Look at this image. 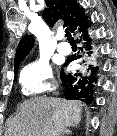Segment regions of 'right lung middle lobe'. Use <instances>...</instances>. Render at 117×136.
Segmentation results:
<instances>
[{"label":"right lung middle lobe","mask_w":117,"mask_h":136,"mask_svg":"<svg viewBox=\"0 0 117 136\" xmlns=\"http://www.w3.org/2000/svg\"><path fill=\"white\" fill-rule=\"evenodd\" d=\"M17 70H18V67H15V68H14V71L17 72Z\"/></svg>","instance_id":"1"}]
</instances>
